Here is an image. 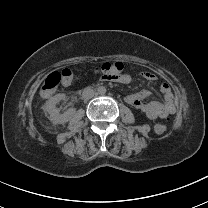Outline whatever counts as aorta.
<instances>
[{
    "instance_id": "1",
    "label": "aorta",
    "mask_w": 208,
    "mask_h": 208,
    "mask_svg": "<svg viewBox=\"0 0 208 208\" xmlns=\"http://www.w3.org/2000/svg\"><path fill=\"white\" fill-rule=\"evenodd\" d=\"M107 92H108V89H107V87L104 86V85L99 86L98 89H97V93H98L99 95H101V96L106 95Z\"/></svg>"
}]
</instances>
